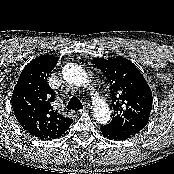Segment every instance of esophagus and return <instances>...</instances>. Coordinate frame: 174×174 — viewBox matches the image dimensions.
Listing matches in <instances>:
<instances>
[{
    "instance_id": "34e87169",
    "label": "esophagus",
    "mask_w": 174,
    "mask_h": 174,
    "mask_svg": "<svg viewBox=\"0 0 174 174\" xmlns=\"http://www.w3.org/2000/svg\"><path fill=\"white\" fill-rule=\"evenodd\" d=\"M89 108H90L89 105H85V107H84L83 109L79 110V111H80V112H85V111H87Z\"/></svg>"
}]
</instances>
